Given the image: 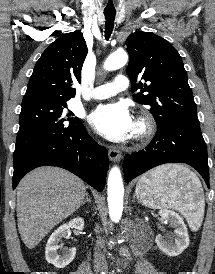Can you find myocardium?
I'll return each mask as SVG.
<instances>
[{
  "instance_id": "obj_1",
  "label": "myocardium",
  "mask_w": 215,
  "mask_h": 274,
  "mask_svg": "<svg viewBox=\"0 0 215 274\" xmlns=\"http://www.w3.org/2000/svg\"><path fill=\"white\" fill-rule=\"evenodd\" d=\"M155 130L154 118L149 113L143 112L136 119L133 138L137 142L147 141L154 135Z\"/></svg>"
}]
</instances>
